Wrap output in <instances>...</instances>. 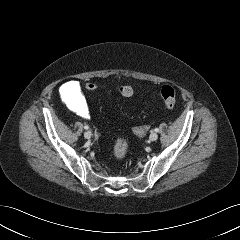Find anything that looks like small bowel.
I'll return each mask as SVG.
<instances>
[{
	"label": "small bowel",
	"mask_w": 240,
	"mask_h": 240,
	"mask_svg": "<svg viewBox=\"0 0 240 240\" xmlns=\"http://www.w3.org/2000/svg\"><path fill=\"white\" fill-rule=\"evenodd\" d=\"M61 95L72 111L83 118L89 117V108L81 92L80 84L77 81L71 80L63 84L61 87ZM146 132L147 126L145 125L133 128V133L138 138L144 137Z\"/></svg>",
	"instance_id": "1"
}]
</instances>
